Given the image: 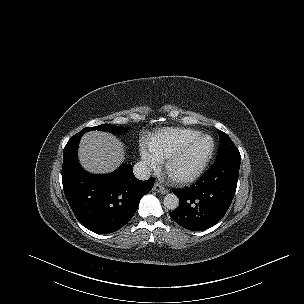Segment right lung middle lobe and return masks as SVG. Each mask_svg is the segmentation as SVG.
Here are the masks:
<instances>
[{
	"mask_svg": "<svg viewBox=\"0 0 304 304\" xmlns=\"http://www.w3.org/2000/svg\"><path fill=\"white\" fill-rule=\"evenodd\" d=\"M91 130H100V131H106L114 134H123L127 131L126 128L121 126H115V125H109V124H102L95 127H86L83 130L79 132V134H84Z\"/></svg>",
	"mask_w": 304,
	"mask_h": 304,
	"instance_id": "dd1d6c3e",
	"label": "right lung middle lobe"
}]
</instances>
